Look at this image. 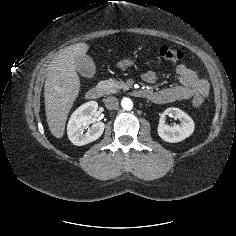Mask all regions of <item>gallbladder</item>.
I'll return each mask as SVG.
<instances>
[{
    "mask_svg": "<svg viewBox=\"0 0 236 236\" xmlns=\"http://www.w3.org/2000/svg\"><path fill=\"white\" fill-rule=\"evenodd\" d=\"M78 73L85 78H93L96 73V66L91 57L88 55L80 56L75 63Z\"/></svg>",
    "mask_w": 236,
    "mask_h": 236,
    "instance_id": "1",
    "label": "gallbladder"
}]
</instances>
